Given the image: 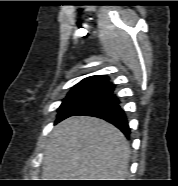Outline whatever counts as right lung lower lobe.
I'll return each mask as SVG.
<instances>
[{"instance_id": "1", "label": "right lung lower lobe", "mask_w": 178, "mask_h": 186, "mask_svg": "<svg viewBox=\"0 0 178 186\" xmlns=\"http://www.w3.org/2000/svg\"><path fill=\"white\" fill-rule=\"evenodd\" d=\"M113 90L114 86L109 91L96 98L95 100L89 102L69 116L85 115L98 117L112 123L126 136H129L130 128L128 126L126 114L120 106V101L113 94Z\"/></svg>"}]
</instances>
